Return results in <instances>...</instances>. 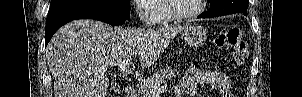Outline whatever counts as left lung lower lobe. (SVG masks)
<instances>
[{
	"label": "left lung lower lobe",
	"mask_w": 302,
	"mask_h": 97,
	"mask_svg": "<svg viewBox=\"0 0 302 97\" xmlns=\"http://www.w3.org/2000/svg\"><path fill=\"white\" fill-rule=\"evenodd\" d=\"M220 16L216 13H212L210 12V10H208L207 12L202 13L200 16H198V18H212V17H217Z\"/></svg>",
	"instance_id": "1"
}]
</instances>
